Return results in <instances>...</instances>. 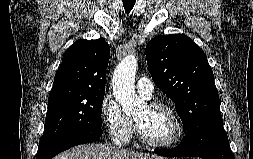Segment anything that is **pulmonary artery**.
<instances>
[{
    "instance_id": "pulmonary-artery-1",
    "label": "pulmonary artery",
    "mask_w": 253,
    "mask_h": 159,
    "mask_svg": "<svg viewBox=\"0 0 253 159\" xmlns=\"http://www.w3.org/2000/svg\"><path fill=\"white\" fill-rule=\"evenodd\" d=\"M136 88L139 94H141L146 99L151 98L154 87L148 78L141 77L136 82Z\"/></svg>"
}]
</instances>
